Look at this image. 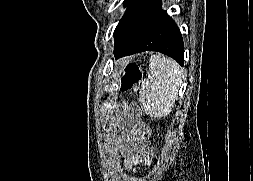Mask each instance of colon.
Here are the masks:
<instances>
[{"mask_svg":"<svg viewBox=\"0 0 253 181\" xmlns=\"http://www.w3.org/2000/svg\"><path fill=\"white\" fill-rule=\"evenodd\" d=\"M142 77L141 68L137 63H128L125 67V74L121 80L123 91L131 90L136 87Z\"/></svg>","mask_w":253,"mask_h":181,"instance_id":"5ec220e1","label":"colon"}]
</instances>
